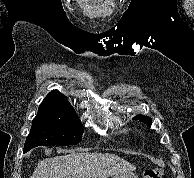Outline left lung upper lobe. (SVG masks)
<instances>
[{"mask_svg":"<svg viewBox=\"0 0 194 178\" xmlns=\"http://www.w3.org/2000/svg\"><path fill=\"white\" fill-rule=\"evenodd\" d=\"M133 119H139L140 121L144 122L148 126H150L152 124V119L148 116L138 115V116L134 117Z\"/></svg>","mask_w":194,"mask_h":178,"instance_id":"1","label":"left lung upper lobe"}]
</instances>
